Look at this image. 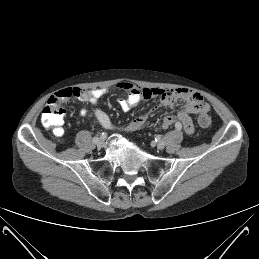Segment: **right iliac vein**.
Segmentation results:
<instances>
[{
	"label": "right iliac vein",
	"instance_id": "63e3f726",
	"mask_svg": "<svg viewBox=\"0 0 259 259\" xmlns=\"http://www.w3.org/2000/svg\"><path fill=\"white\" fill-rule=\"evenodd\" d=\"M98 147H103L105 145V142L102 138H99V141L95 143Z\"/></svg>",
	"mask_w": 259,
	"mask_h": 259
}]
</instances>
